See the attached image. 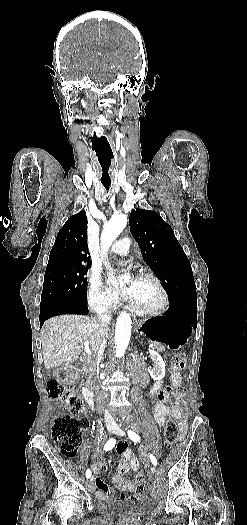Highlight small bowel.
Listing matches in <instances>:
<instances>
[{"label": "small bowel", "mask_w": 247, "mask_h": 525, "mask_svg": "<svg viewBox=\"0 0 247 525\" xmlns=\"http://www.w3.org/2000/svg\"><path fill=\"white\" fill-rule=\"evenodd\" d=\"M171 386H173L176 389V402L173 405H168L165 403V401L157 400L154 405V420L159 428H163L166 422L167 417H173L177 420L179 424L180 431H184L186 428V421L184 416V410L182 406V400H183V391L180 389L181 387V377L179 372L174 371L171 375ZM159 389V384H155L151 390L150 395L154 396L156 395L157 391ZM117 451L119 454V462L117 467V473L113 477L114 484L121 490L124 491H134V485L130 482V479L128 477V473L130 470H133L135 472L140 471V459L131 453V451L128 449L126 442L121 441L117 445ZM142 461L144 464L149 465L150 460L148 453L145 450L141 451ZM96 466L99 469L104 468L105 463L104 459L101 456H96L95 459ZM104 473H107V470H104ZM93 485L95 488H97V497L100 499H109L113 500L114 495L112 493H106L108 491V486L106 485V481L102 478H97L94 480ZM138 495L134 494L132 496H127L126 494L121 495V499H131L134 500L137 498Z\"/></svg>", "instance_id": "1"}]
</instances>
